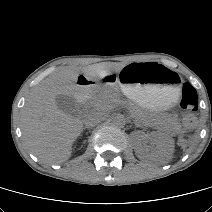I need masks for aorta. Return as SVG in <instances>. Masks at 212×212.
Segmentation results:
<instances>
[{
    "instance_id": "aorta-1",
    "label": "aorta",
    "mask_w": 212,
    "mask_h": 212,
    "mask_svg": "<svg viewBox=\"0 0 212 212\" xmlns=\"http://www.w3.org/2000/svg\"><path fill=\"white\" fill-rule=\"evenodd\" d=\"M113 126L123 128L126 125V119L123 115H117L112 120Z\"/></svg>"
}]
</instances>
